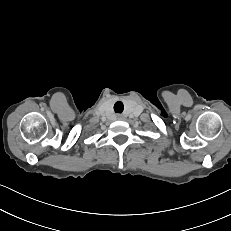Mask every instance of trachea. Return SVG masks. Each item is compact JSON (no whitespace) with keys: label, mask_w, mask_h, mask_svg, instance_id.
Here are the masks:
<instances>
[{"label":"trachea","mask_w":231,"mask_h":231,"mask_svg":"<svg viewBox=\"0 0 231 231\" xmlns=\"http://www.w3.org/2000/svg\"><path fill=\"white\" fill-rule=\"evenodd\" d=\"M124 110V105L121 101H118L114 104V111L116 113H122Z\"/></svg>","instance_id":"1"}]
</instances>
